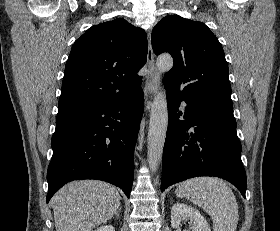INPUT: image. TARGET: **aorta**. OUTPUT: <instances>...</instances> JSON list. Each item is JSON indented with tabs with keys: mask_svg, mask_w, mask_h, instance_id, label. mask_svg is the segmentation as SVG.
<instances>
[{
	"mask_svg": "<svg viewBox=\"0 0 280 231\" xmlns=\"http://www.w3.org/2000/svg\"><path fill=\"white\" fill-rule=\"evenodd\" d=\"M156 66L160 74L168 72L173 66V58H171L170 54H161L157 58ZM167 125L168 108L166 98L162 92H156L150 112L148 131L147 161L151 171H156L160 161H162Z\"/></svg>",
	"mask_w": 280,
	"mask_h": 231,
	"instance_id": "762f6f07",
	"label": "aorta"
}]
</instances>
